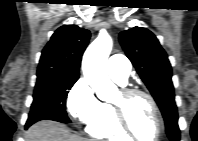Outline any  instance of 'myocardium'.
Returning <instances> with one entry per match:
<instances>
[{
    "mask_svg": "<svg viewBox=\"0 0 198 141\" xmlns=\"http://www.w3.org/2000/svg\"><path fill=\"white\" fill-rule=\"evenodd\" d=\"M121 95L128 99L134 96H142L144 98H146L148 100V102L150 103L152 110L154 112L155 115V119H156V125H157V133L155 138L152 141H158L164 131V123H163V118L159 109V106L156 102V100L154 99V97L152 95H150L149 93L141 90V89H137V88H123L120 91ZM111 107L113 109V113H114V118L118 124V126L120 127V129L127 134L129 137L134 138L136 140H142L140 138H138V136L135 134V132L132 130L127 116H126V112H125V107L123 105H119L116 103H111Z\"/></svg>",
    "mask_w": 198,
    "mask_h": 141,
    "instance_id": "f54148a6",
    "label": "myocardium"
}]
</instances>
